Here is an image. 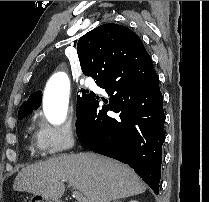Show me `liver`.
<instances>
[{
  "instance_id": "liver-1",
  "label": "liver",
  "mask_w": 209,
  "mask_h": 202,
  "mask_svg": "<svg viewBox=\"0 0 209 202\" xmlns=\"http://www.w3.org/2000/svg\"><path fill=\"white\" fill-rule=\"evenodd\" d=\"M66 181L84 194L86 202H110L146 191L132 169L89 152L62 154L29 165L18 173L13 189L59 199Z\"/></svg>"
}]
</instances>
